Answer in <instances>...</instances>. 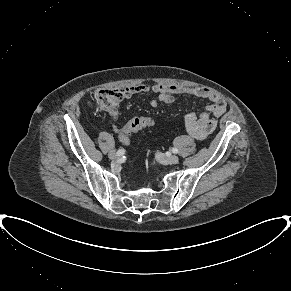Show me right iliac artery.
Returning a JSON list of instances; mask_svg holds the SVG:
<instances>
[{"instance_id": "1", "label": "right iliac artery", "mask_w": 291, "mask_h": 291, "mask_svg": "<svg viewBox=\"0 0 291 291\" xmlns=\"http://www.w3.org/2000/svg\"><path fill=\"white\" fill-rule=\"evenodd\" d=\"M124 153H125V149H123V148H121V149H119V150L117 151V154H118L119 156L123 155Z\"/></svg>"}]
</instances>
